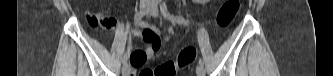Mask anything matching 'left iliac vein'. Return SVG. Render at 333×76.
Segmentation results:
<instances>
[{"instance_id":"obj_1","label":"left iliac vein","mask_w":333,"mask_h":76,"mask_svg":"<svg viewBox=\"0 0 333 76\" xmlns=\"http://www.w3.org/2000/svg\"><path fill=\"white\" fill-rule=\"evenodd\" d=\"M150 14H151L152 16H154V17H158V16H159V11H158V9H157L156 6H153V7H152V10L150 11ZM196 74H197L198 76H205V69H204V67H203L202 64H199V65L197 66V68H196Z\"/></svg>"}]
</instances>
